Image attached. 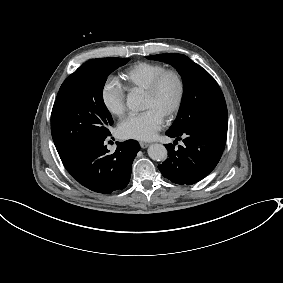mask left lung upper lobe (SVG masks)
Returning a JSON list of instances; mask_svg holds the SVG:
<instances>
[{
    "mask_svg": "<svg viewBox=\"0 0 283 283\" xmlns=\"http://www.w3.org/2000/svg\"><path fill=\"white\" fill-rule=\"evenodd\" d=\"M174 66L183 79L184 94L176 120L167 132L227 127L228 113L224 95L215 79L183 54L148 56Z\"/></svg>",
    "mask_w": 283,
    "mask_h": 283,
    "instance_id": "1",
    "label": "left lung upper lobe"
}]
</instances>
